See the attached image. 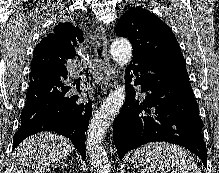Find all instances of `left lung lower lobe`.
<instances>
[{
  "label": "left lung lower lobe",
  "mask_w": 219,
  "mask_h": 173,
  "mask_svg": "<svg viewBox=\"0 0 219 173\" xmlns=\"http://www.w3.org/2000/svg\"><path fill=\"white\" fill-rule=\"evenodd\" d=\"M127 97L113 123V140L122 158L127 152L152 141L181 145L207 165L203 122L186 69L142 55H133L126 68ZM141 85L143 102L134 98L129 83Z\"/></svg>",
  "instance_id": "obj_1"
}]
</instances>
